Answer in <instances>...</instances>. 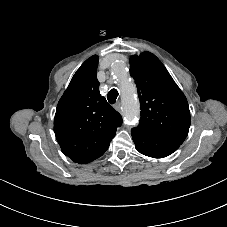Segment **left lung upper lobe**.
Masks as SVG:
<instances>
[{
  "mask_svg": "<svg viewBox=\"0 0 227 227\" xmlns=\"http://www.w3.org/2000/svg\"><path fill=\"white\" fill-rule=\"evenodd\" d=\"M130 74L137 85L139 127L182 144L190 127L187 99L161 61L150 52L130 58Z\"/></svg>",
  "mask_w": 227,
  "mask_h": 227,
  "instance_id": "left-lung-upper-lobe-1",
  "label": "left lung upper lobe"
}]
</instances>
